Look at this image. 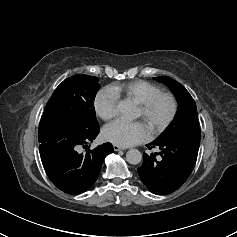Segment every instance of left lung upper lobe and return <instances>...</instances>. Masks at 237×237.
<instances>
[{
	"label": "left lung upper lobe",
	"mask_w": 237,
	"mask_h": 237,
	"mask_svg": "<svg viewBox=\"0 0 237 237\" xmlns=\"http://www.w3.org/2000/svg\"><path fill=\"white\" fill-rule=\"evenodd\" d=\"M155 79L165 83L171 89L178 102V110L173 121L158 136L156 141H200L197 108L192 96L180 83L167 76L156 77Z\"/></svg>",
	"instance_id": "left-lung-upper-lobe-1"
}]
</instances>
